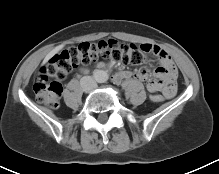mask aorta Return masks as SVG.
I'll use <instances>...</instances> for the list:
<instances>
[{"label": "aorta", "mask_w": 219, "mask_h": 174, "mask_svg": "<svg viewBox=\"0 0 219 174\" xmlns=\"http://www.w3.org/2000/svg\"><path fill=\"white\" fill-rule=\"evenodd\" d=\"M109 78V75L107 73V71H104V70H97L95 72V79L97 82L99 83H104L108 80Z\"/></svg>", "instance_id": "762f6f07"}]
</instances>
